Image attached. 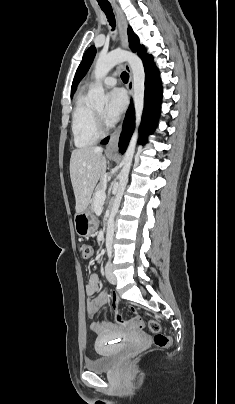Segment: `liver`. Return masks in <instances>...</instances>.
<instances>
[{
  "label": "liver",
  "mask_w": 235,
  "mask_h": 404,
  "mask_svg": "<svg viewBox=\"0 0 235 404\" xmlns=\"http://www.w3.org/2000/svg\"><path fill=\"white\" fill-rule=\"evenodd\" d=\"M106 158L101 147H86L72 151L70 178L75 195L76 213L89 206L97 182L106 172Z\"/></svg>",
  "instance_id": "obj_1"
}]
</instances>
